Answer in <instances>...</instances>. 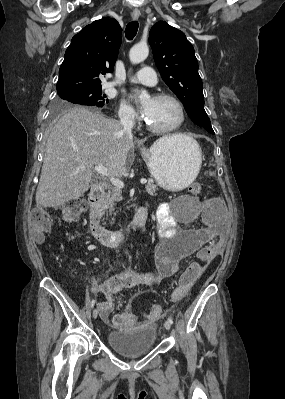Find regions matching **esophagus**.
I'll use <instances>...</instances> for the list:
<instances>
[{
	"label": "esophagus",
	"instance_id": "1",
	"mask_svg": "<svg viewBox=\"0 0 285 399\" xmlns=\"http://www.w3.org/2000/svg\"><path fill=\"white\" fill-rule=\"evenodd\" d=\"M139 15H140V11H139L137 8H135V9L133 10V12H132V19H133L134 21L138 20Z\"/></svg>",
	"mask_w": 285,
	"mask_h": 399
}]
</instances>
